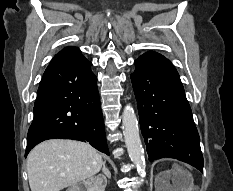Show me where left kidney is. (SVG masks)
Listing matches in <instances>:
<instances>
[{
    "label": "left kidney",
    "mask_w": 233,
    "mask_h": 191,
    "mask_svg": "<svg viewBox=\"0 0 233 191\" xmlns=\"http://www.w3.org/2000/svg\"><path fill=\"white\" fill-rule=\"evenodd\" d=\"M165 178H166V181H165V186H166V188H167V191H176V190H172V188L173 187H171L170 185H169V183H168V180L171 178V173L168 171V172H166L165 173ZM176 178V177H175ZM174 180H177V179H174ZM176 185H180L179 183H176ZM178 188H180V187H178ZM185 191H187V190H185Z\"/></svg>",
    "instance_id": "left-kidney-1"
}]
</instances>
